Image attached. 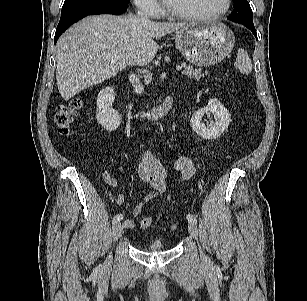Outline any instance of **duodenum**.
<instances>
[{
	"instance_id": "duodenum-1",
	"label": "duodenum",
	"mask_w": 307,
	"mask_h": 301,
	"mask_svg": "<svg viewBox=\"0 0 307 301\" xmlns=\"http://www.w3.org/2000/svg\"><path fill=\"white\" fill-rule=\"evenodd\" d=\"M172 106L173 98L171 96H167L158 106L146 110L144 115L151 120H161L170 113Z\"/></svg>"
}]
</instances>
